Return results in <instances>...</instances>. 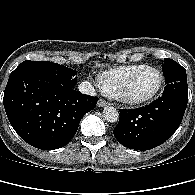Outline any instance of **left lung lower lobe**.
Here are the masks:
<instances>
[{
	"label": "left lung lower lobe",
	"mask_w": 195,
	"mask_h": 195,
	"mask_svg": "<svg viewBox=\"0 0 195 195\" xmlns=\"http://www.w3.org/2000/svg\"><path fill=\"white\" fill-rule=\"evenodd\" d=\"M188 102L187 81L166 84L161 97L149 105L119 110L113 133L123 146L149 150L164 143L179 127Z\"/></svg>",
	"instance_id": "left-lung-lower-lobe-1"
}]
</instances>
